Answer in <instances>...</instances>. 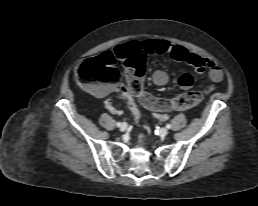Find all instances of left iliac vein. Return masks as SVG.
<instances>
[{
    "mask_svg": "<svg viewBox=\"0 0 258 206\" xmlns=\"http://www.w3.org/2000/svg\"><path fill=\"white\" fill-rule=\"evenodd\" d=\"M168 134V130L166 129V128H162L161 130H160V135L161 136H166Z\"/></svg>",
    "mask_w": 258,
    "mask_h": 206,
    "instance_id": "obj_1",
    "label": "left iliac vein"
}]
</instances>
